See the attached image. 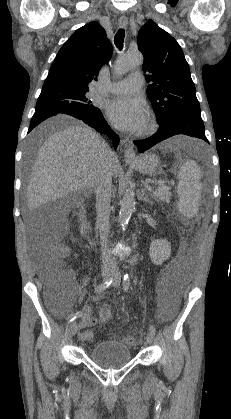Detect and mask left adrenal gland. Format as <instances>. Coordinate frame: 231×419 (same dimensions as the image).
Masks as SVG:
<instances>
[{"label":"left adrenal gland","mask_w":231,"mask_h":419,"mask_svg":"<svg viewBox=\"0 0 231 419\" xmlns=\"http://www.w3.org/2000/svg\"><path fill=\"white\" fill-rule=\"evenodd\" d=\"M140 198L144 200L146 203L152 204V201L149 200L148 196H145V190H141Z\"/></svg>","instance_id":"1"}]
</instances>
